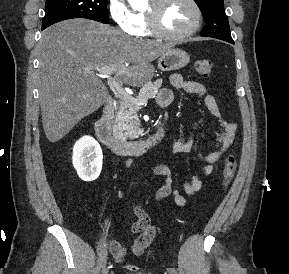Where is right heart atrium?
Here are the masks:
<instances>
[{
    "label": "right heart atrium",
    "instance_id": "d8ad5b80",
    "mask_svg": "<svg viewBox=\"0 0 289 274\" xmlns=\"http://www.w3.org/2000/svg\"><path fill=\"white\" fill-rule=\"evenodd\" d=\"M108 2L109 14L117 27L127 34L134 35L137 28L135 14L125 0H109Z\"/></svg>",
    "mask_w": 289,
    "mask_h": 274
}]
</instances>
